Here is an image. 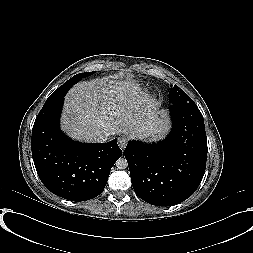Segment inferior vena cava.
Segmentation results:
<instances>
[{
	"instance_id": "inferior-vena-cava-1",
	"label": "inferior vena cava",
	"mask_w": 253,
	"mask_h": 253,
	"mask_svg": "<svg viewBox=\"0 0 253 253\" xmlns=\"http://www.w3.org/2000/svg\"><path fill=\"white\" fill-rule=\"evenodd\" d=\"M109 139V135L108 134H103L100 135L99 137L96 138L97 142H106Z\"/></svg>"
}]
</instances>
